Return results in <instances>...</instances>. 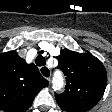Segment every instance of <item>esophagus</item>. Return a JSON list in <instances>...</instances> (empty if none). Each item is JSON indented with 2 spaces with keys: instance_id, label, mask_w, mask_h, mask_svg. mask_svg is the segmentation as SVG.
I'll return each instance as SVG.
<instances>
[{
  "instance_id": "esophagus-1",
  "label": "esophagus",
  "mask_w": 112,
  "mask_h": 112,
  "mask_svg": "<svg viewBox=\"0 0 112 112\" xmlns=\"http://www.w3.org/2000/svg\"><path fill=\"white\" fill-rule=\"evenodd\" d=\"M42 68H44V69H42ZM40 73L43 75V73H42V70H46V75L47 76H44L48 81H50V76H51V71H50V69L47 67V66H43V67H41L40 69Z\"/></svg>"
}]
</instances>
